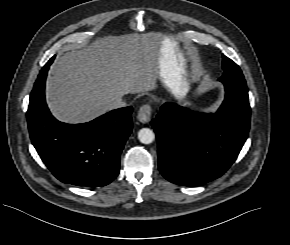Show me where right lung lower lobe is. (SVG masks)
Wrapping results in <instances>:
<instances>
[{"label": "right lung lower lobe", "instance_id": "1", "mask_svg": "<svg viewBox=\"0 0 290 245\" xmlns=\"http://www.w3.org/2000/svg\"><path fill=\"white\" fill-rule=\"evenodd\" d=\"M52 57L41 69L30 95L27 122L32 144L52 174L64 183L99 187L119 174L120 153L132 132V107L70 125L50 113L44 95Z\"/></svg>", "mask_w": 290, "mask_h": 245}]
</instances>
